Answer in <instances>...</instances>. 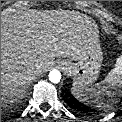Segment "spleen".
Segmentation results:
<instances>
[{
  "label": "spleen",
  "instance_id": "3e777b00",
  "mask_svg": "<svg viewBox=\"0 0 122 122\" xmlns=\"http://www.w3.org/2000/svg\"><path fill=\"white\" fill-rule=\"evenodd\" d=\"M122 87V55L118 57L115 67L108 73L105 80L100 85L86 88L73 86L71 93L76 99L86 105L94 106L98 109L108 107L103 102V98H113L119 94V88Z\"/></svg>",
  "mask_w": 122,
  "mask_h": 122
}]
</instances>
